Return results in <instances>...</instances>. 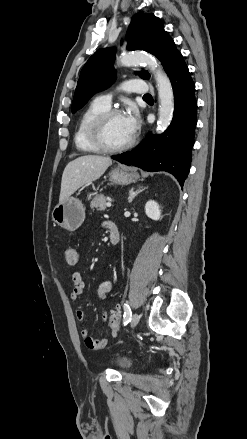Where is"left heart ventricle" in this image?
Listing matches in <instances>:
<instances>
[{
    "label": "left heart ventricle",
    "mask_w": 247,
    "mask_h": 439,
    "mask_svg": "<svg viewBox=\"0 0 247 439\" xmlns=\"http://www.w3.org/2000/svg\"><path fill=\"white\" fill-rule=\"evenodd\" d=\"M124 116H114L106 124L104 138L109 146L117 147L125 144L131 139Z\"/></svg>",
    "instance_id": "b2bd125f"
}]
</instances>
